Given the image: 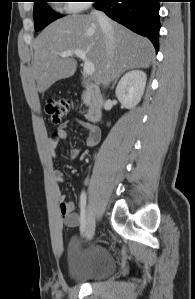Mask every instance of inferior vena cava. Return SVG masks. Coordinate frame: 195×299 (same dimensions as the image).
<instances>
[{"label":"inferior vena cava","mask_w":195,"mask_h":299,"mask_svg":"<svg viewBox=\"0 0 195 299\" xmlns=\"http://www.w3.org/2000/svg\"><path fill=\"white\" fill-rule=\"evenodd\" d=\"M92 15L97 18V21L102 29L105 39H106V49L107 54L111 56L114 50V35H113V26L111 20L101 11L93 10Z\"/></svg>","instance_id":"1"}]
</instances>
